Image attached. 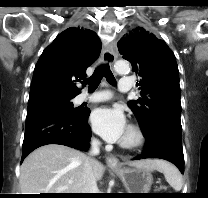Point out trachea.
Returning a JSON list of instances; mask_svg holds the SVG:
<instances>
[{
    "instance_id": "1",
    "label": "trachea",
    "mask_w": 208,
    "mask_h": 198,
    "mask_svg": "<svg viewBox=\"0 0 208 198\" xmlns=\"http://www.w3.org/2000/svg\"><path fill=\"white\" fill-rule=\"evenodd\" d=\"M105 77L107 82L111 85L116 84V79L111 72L109 65H101L99 66L93 73L90 78H87L83 83L88 84L89 91H95L99 86L102 78Z\"/></svg>"
}]
</instances>
